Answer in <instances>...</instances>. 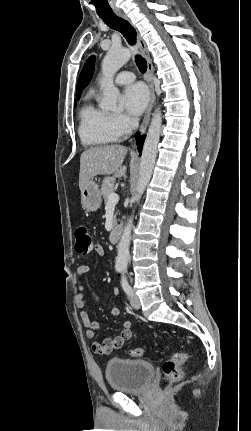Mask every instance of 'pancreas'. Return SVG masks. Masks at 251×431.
<instances>
[{
    "mask_svg": "<svg viewBox=\"0 0 251 431\" xmlns=\"http://www.w3.org/2000/svg\"><path fill=\"white\" fill-rule=\"evenodd\" d=\"M115 190V179L111 177L104 178V180L102 181L101 194L103 195L106 204L109 203V195L111 193H114ZM114 224H116V218L114 219Z\"/></svg>",
    "mask_w": 251,
    "mask_h": 431,
    "instance_id": "cf45deb5",
    "label": "pancreas"
}]
</instances>
